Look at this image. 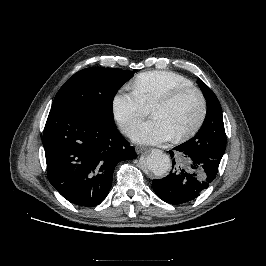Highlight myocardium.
I'll list each match as a JSON object with an SVG mask.
<instances>
[{"label": "myocardium", "mask_w": 266, "mask_h": 266, "mask_svg": "<svg viewBox=\"0 0 266 266\" xmlns=\"http://www.w3.org/2000/svg\"><path fill=\"white\" fill-rule=\"evenodd\" d=\"M195 93L200 101V112L198 115V118L196 122L193 124L191 128H189L187 131L175 135V139L177 141H182V140H187L190 137L194 136L202 127L206 115H207V100L204 95V93L197 87L195 86H184V87H179L176 88L164 96L160 97L157 99L151 106V109L156 107V106H165L174 103L176 100H178L180 97L187 93Z\"/></svg>", "instance_id": "myocardium-1"}]
</instances>
